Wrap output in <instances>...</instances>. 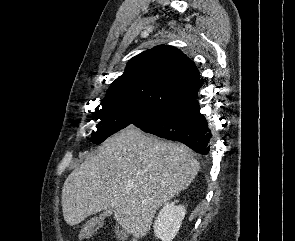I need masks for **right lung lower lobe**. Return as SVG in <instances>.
<instances>
[{"label": "right lung lower lobe", "mask_w": 295, "mask_h": 241, "mask_svg": "<svg viewBox=\"0 0 295 241\" xmlns=\"http://www.w3.org/2000/svg\"><path fill=\"white\" fill-rule=\"evenodd\" d=\"M144 132L180 141L200 154H208L210 133L197 99L164 112L158 119L140 127Z\"/></svg>", "instance_id": "1"}]
</instances>
